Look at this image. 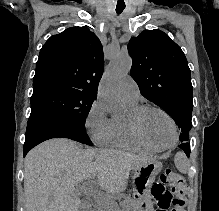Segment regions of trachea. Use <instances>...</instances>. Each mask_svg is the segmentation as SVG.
Wrapping results in <instances>:
<instances>
[{
	"mask_svg": "<svg viewBox=\"0 0 219 211\" xmlns=\"http://www.w3.org/2000/svg\"><path fill=\"white\" fill-rule=\"evenodd\" d=\"M125 8V5H117L116 12L119 15Z\"/></svg>",
	"mask_w": 219,
	"mask_h": 211,
	"instance_id": "1",
	"label": "trachea"
}]
</instances>
